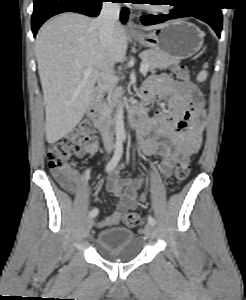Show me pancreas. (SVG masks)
I'll use <instances>...</instances> for the list:
<instances>
[{"label":"pancreas","instance_id":"1","mask_svg":"<svg viewBox=\"0 0 246 300\" xmlns=\"http://www.w3.org/2000/svg\"><path fill=\"white\" fill-rule=\"evenodd\" d=\"M142 58V64H147L149 66V71L153 72L155 69H166L171 65H178L180 61L171 60L165 57L161 52L155 50H145L140 53ZM122 94V87H117L108 99L109 109H112L118 102V98Z\"/></svg>","mask_w":246,"mask_h":300}]
</instances>
